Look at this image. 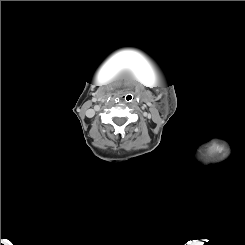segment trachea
Listing matches in <instances>:
<instances>
[{
  "label": "trachea",
  "instance_id": "trachea-1",
  "mask_svg": "<svg viewBox=\"0 0 245 245\" xmlns=\"http://www.w3.org/2000/svg\"><path fill=\"white\" fill-rule=\"evenodd\" d=\"M132 99H133L132 95L131 94H128V95H126L125 101L131 102Z\"/></svg>",
  "mask_w": 245,
  "mask_h": 245
}]
</instances>
